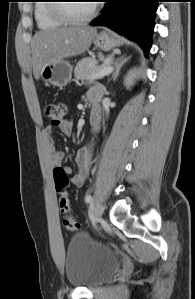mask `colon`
Instances as JSON below:
<instances>
[{
  "label": "colon",
  "mask_w": 195,
  "mask_h": 299,
  "mask_svg": "<svg viewBox=\"0 0 195 299\" xmlns=\"http://www.w3.org/2000/svg\"><path fill=\"white\" fill-rule=\"evenodd\" d=\"M44 113L52 125L58 126L67 113V105L61 101L50 102L46 104ZM53 178L56 192L59 194L60 211L66 215L63 221L64 227L68 231H76L80 228V223L71 215L70 202L65 192L69 183L68 175L62 167L56 166L53 169Z\"/></svg>",
  "instance_id": "5ec220e1"
}]
</instances>
